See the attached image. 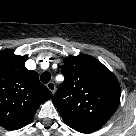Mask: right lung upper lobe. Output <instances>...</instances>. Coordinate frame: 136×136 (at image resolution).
<instances>
[{
    "instance_id": "right-lung-upper-lobe-1",
    "label": "right lung upper lobe",
    "mask_w": 136,
    "mask_h": 136,
    "mask_svg": "<svg viewBox=\"0 0 136 136\" xmlns=\"http://www.w3.org/2000/svg\"><path fill=\"white\" fill-rule=\"evenodd\" d=\"M27 59L11 49L0 52V126L7 130L27 125L40 104L52 98L38 74L25 68Z\"/></svg>"
}]
</instances>
